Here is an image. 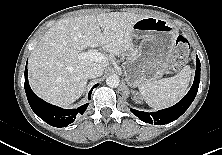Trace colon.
<instances>
[{
    "label": "colon",
    "instance_id": "1",
    "mask_svg": "<svg viewBox=\"0 0 222 155\" xmlns=\"http://www.w3.org/2000/svg\"><path fill=\"white\" fill-rule=\"evenodd\" d=\"M189 52V42L184 36H178L173 47L172 69L178 68L186 59Z\"/></svg>",
    "mask_w": 222,
    "mask_h": 155
}]
</instances>
